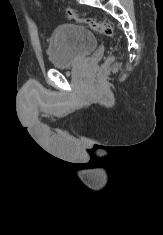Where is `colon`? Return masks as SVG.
Returning a JSON list of instances; mask_svg holds the SVG:
<instances>
[{"label":"colon","instance_id":"colon-1","mask_svg":"<svg viewBox=\"0 0 163 235\" xmlns=\"http://www.w3.org/2000/svg\"><path fill=\"white\" fill-rule=\"evenodd\" d=\"M66 15L69 19L74 20L81 24L88 25L93 29L100 31L102 34H104L107 37L113 36L114 33L113 28L108 22L99 21L95 18L79 14L73 10H67Z\"/></svg>","mask_w":163,"mask_h":235}]
</instances>
